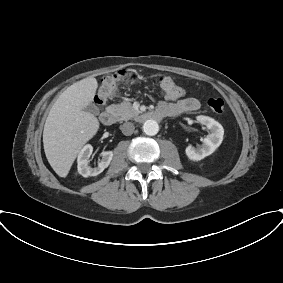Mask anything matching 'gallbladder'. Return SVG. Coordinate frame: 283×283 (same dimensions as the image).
I'll list each match as a JSON object with an SVG mask.
<instances>
[{"label":"gallbladder","instance_id":"bac80fb5","mask_svg":"<svg viewBox=\"0 0 283 283\" xmlns=\"http://www.w3.org/2000/svg\"><path fill=\"white\" fill-rule=\"evenodd\" d=\"M84 110L89 112V113H91V114H93V115L99 114V110H98V108L94 104H90Z\"/></svg>","mask_w":283,"mask_h":283}]
</instances>
